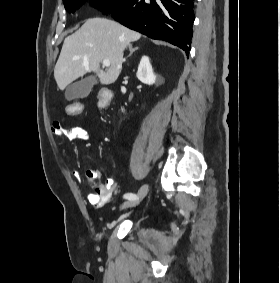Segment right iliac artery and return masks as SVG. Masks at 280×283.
Returning <instances> with one entry per match:
<instances>
[{
    "label": "right iliac artery",
    "mask_w": 280,
    "mask_h": 283,
    "mask_svg": "<svg viewBox=\"0 0 280 283\" xmlns=\"http://www.w3.org/2000/svg\"><path fill=\"white\" fill-rule=\"evenodd\" d=\"M124 198L128 199V200H132V199H136L137 196L133 193H126V194H124Z\"/></svg>",
    "instance_id": "1"
}]
</instances>
